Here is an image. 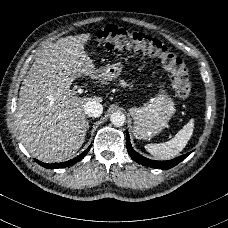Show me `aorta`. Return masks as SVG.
I'll return each mask as SVG.
<instances>
[{"instance_id": "762f6f07", "label": "aorta", "mask_w": 228, "mask_h": 228, "mask_svg": "<svg viewBox=\"0 0 228 228\" xmlns=\"http://www.w3.org/2000/svg\"><path fill=\"white\" fill-rule=\"evenodd\" d=\"M111 124L117 127L124 126L126 123V116L122 112H115L110 117Z\"/></svg>"}]
</instances>
